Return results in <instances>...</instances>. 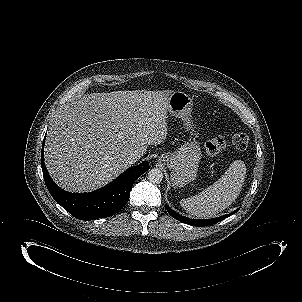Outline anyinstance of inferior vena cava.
<instances>
[{"instance_id": "1", "label": "inferior vena cava", "mask_w": 302, "mask_h": 302, "mask_svg": "<svg viewBox=\"0 0 302 302\" xmlns=\"http://www.w3.org/2000/svg\"><path fill=\"white\" fill-rule=\"evenodd\" d=\"M140 154L136 151H130L126 154L125 160L128 165L136 163L140 159Z\"/></svg>"}]
</instances>
